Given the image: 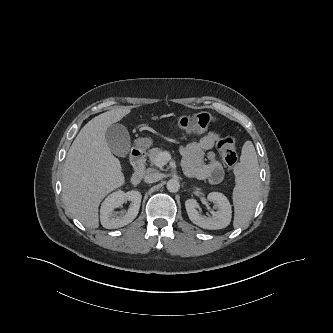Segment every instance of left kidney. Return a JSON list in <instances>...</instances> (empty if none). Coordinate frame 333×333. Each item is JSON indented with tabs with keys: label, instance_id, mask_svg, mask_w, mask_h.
Listing matches in <instances>:
<instances>
[{
	"label": "left kidney",
	"instance_id": "1",
	"mask_svg": "<svg viewBox=\"0 0 333 333\" xmlns=\"http://www.w3.org/2000/svg\"><path fill=\"white\" fill-rule=\"evenodd\" d=\"M207 199L215 203L218 210L213 212L210 217L202 216L196 209L197 201L195 199H188L185 202V207L189 219L204 229L216 230L227 227L232 217L231 205L227 197L219 192H211L208 194Z\"/></svg>",
	"mask_w": 333,
	"mask_h": 333
}]
</instances>
